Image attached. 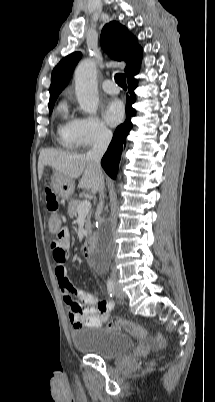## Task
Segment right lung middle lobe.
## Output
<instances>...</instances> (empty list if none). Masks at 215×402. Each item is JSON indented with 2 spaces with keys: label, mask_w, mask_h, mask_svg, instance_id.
Wrapping results in <instances>:
<instances>
[{
  "label": "right lung middle lobe",
  "mask_w": 215,
  "mask_h": 402,
  "mask_svg": "<svg viewBox=\"0 0 215 402\" xmlns=\"http://www.w3.org/2000/svg\"><path fill=\"white\" fill-rule=\"evenodd\" d=\"M56 99H57V98L50 99V101H49V113L52 112V109H53V106H54V102L56 101Z\"/></svg>",
  "instance_id": "right-lung-middle-lobe-1"
}]
</instances>
